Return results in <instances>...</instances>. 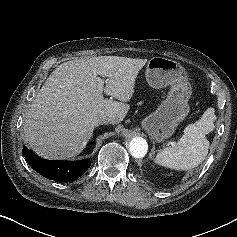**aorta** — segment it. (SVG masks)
<instances>
[{"instance_id": "762f6f07", "label": "aorta", "mask_w": 237, "mask_h": 237, "mask_svg": "<svg viewBox=\"0 0 237 237\" xmlns=\"http://www.w3.org/2000/svg\"><path fill=\"white\" fill-rule=\"evenodd\" d=\"M129 152L135 158H142L148 150V144L142 137H135L128 144Z\"/></svg>"}]
</instances>
